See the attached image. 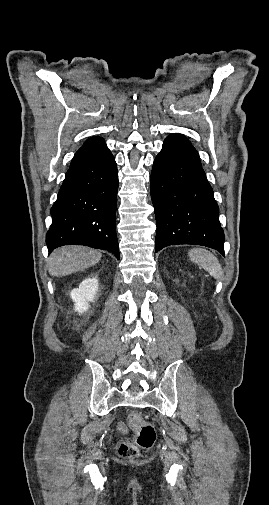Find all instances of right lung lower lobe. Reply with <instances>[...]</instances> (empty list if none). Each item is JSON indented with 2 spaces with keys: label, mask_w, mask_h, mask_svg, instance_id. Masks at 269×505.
Masks as SVG:
<instances>
[{
  "label": "right lung lower lobe",
  "mask_w": 269,
  "mask_h": 505,
  "mask_svg": "<svg viewBox=\"0 0 269 505\" xmlns=\"http://www.w3.org/2000/svg\"><path fill=\"white\" fill-rule=\"evenodd\" d=\"M118 185L116 162L105 143L76 155L50 211L49 252L75 244L110 251L119 259L115 230Z\"/></svg>",
  "instance_id": "98d812e1"
}]
</instances>
